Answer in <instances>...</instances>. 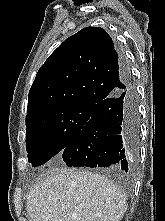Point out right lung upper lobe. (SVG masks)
<instances>
[{
    "mask_svg": "<svg viewBox=\"0 0 165 221\" xmlns=\"http://www.w3.org/2000/svg\"><path fill=\"white\" fill-rule=\"evenodd\" d=\"M112 38L86 27L67 38L39 69L29 92L26 118L59 106H95L130 81Z\"/></svg>",
    "mask_w": 165,
    "mask_h": 221,
    "instance_id": "obj_1",
    "label": "right lung upper lobe"
}]
</instances>
